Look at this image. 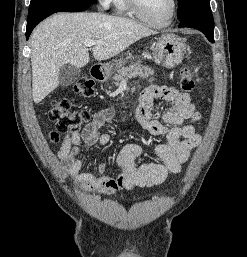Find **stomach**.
Returning a JSON list of instances; mask_svg holds the SVG:
<instances>
[{
  "label": "stomach",
  "mask_w": 247,
  "mask_h": 257,
  "mask_svg": "<svg viewBox=\"0 0 247 257\" xmlns=\"http://www.w3.org/2000/svg\"><path fill=\"white\" fill-rule=\"evenodd\" d=\"M154 58L166 68H174L179 65L186 53L185 42L177 35L166 33L157 38L154 43ZM124 62L119 63L121 65ZM105 78H109L111 72L105 69Z\"/></svg>",
  "instance_id": "1"
}]
</instances>
